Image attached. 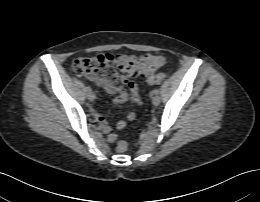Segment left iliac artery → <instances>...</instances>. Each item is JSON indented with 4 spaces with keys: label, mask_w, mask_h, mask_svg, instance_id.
<instances>
[{
    "label": "left iliac artery",
    "mask_w": 260,
    "mask_h": 202,
    "mask_svg": "<svg viewBox=\"0 0 260 202\" xmlns=\"http://www.w3.org/2000/svg\"><path fill=\"white\" fill-rule=\"evenodd\" d=\"M159 92H160L159 89H155V90L153 91V93L156 94V95H158Z\"/></svg>",
    "instance_id": "44dca946"
}]
</instances>
